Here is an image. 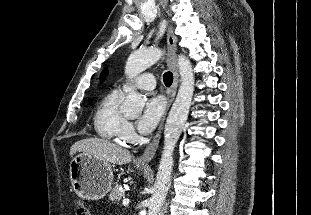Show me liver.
I'll list each match as a JSON object with an SVG mask.
<instances>
[{
    "mask_svg": "<svg viewBox=\"0 0 311 215\" xmlns=\"http://www.w3.org/2000/svg\"><path fill=\"white\" fill-rule=\"evenodd\" d=\"M77 152L117 165L127 164L132 159L128 150L100 138H86L75 142L70 149V156L73 157Z\"/></svg>",
    "mask_w": 311,
    "mask_h": 215,
    "instance_id": "6515ba94",
    "label": "liver"
}]
</instances>
